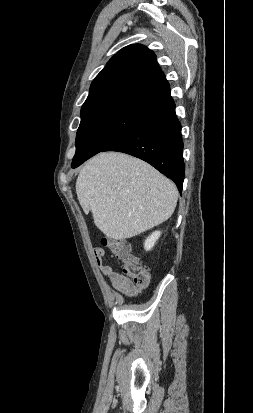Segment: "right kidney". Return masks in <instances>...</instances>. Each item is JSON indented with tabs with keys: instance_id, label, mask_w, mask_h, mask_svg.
Returning a JSON list of instances; mask_svg holds the SVG:
<instances>
[{
	"instance_id": "ca27d5eb",
	"label": "right kidney",
	"mask_w": 253,
	"mask_h": 413,
	"mask_svg": "<svg viewBox=\"0 0 253 413\" xmlns=\"http://www.w3.org/2000/svg\"><path fill=\"white\" fill-rule=\"evenodd\" d=\"M160 235V231H155L145 240L144 248L146 251H149L153 248L155 242L159 239Z\"/></svg>"
}]
</instances>
